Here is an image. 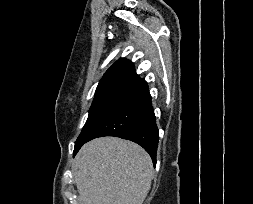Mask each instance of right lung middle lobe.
<instances>
[{
	"mask_svg": "<svg viewBox=\"0 0 253 204\" xmlns=\"http://www.w3.org/2000/svg\"><path fill=\"white\" fill-rule=\"evenodd\" d=\"M136 82H120L98 87L89 116L75 142L74 155L104 120L139 86Z\"/></svg>",
	"mask_w": 253,
	"mask_h": 204,
	"instance_id": "right-lung-middle-lobe-1",
	"label": "right lung middle lobe"
}]
</instances>
